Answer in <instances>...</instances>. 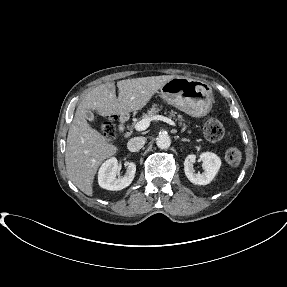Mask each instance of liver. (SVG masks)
<instances>
[{"instance_id":"6515ba94","label":"liver","mask_w":287,"mask_h":287,"mask_svg":"<svg viewBox=\"0 0 287 287\" xmlns=\"http://www.w3.org/2000/svg\"><path fill=\"white\" fill-rule=\"evenodd\" d=\"M174 75L125 79L105 83L92 89L80 102L70 125L65 151L69 179L83 193L93 195V181L101 163L117 152V147L87 122L86 111L106 117L141 110L152 96Z\"/></svg>"}]
</instances>
